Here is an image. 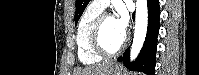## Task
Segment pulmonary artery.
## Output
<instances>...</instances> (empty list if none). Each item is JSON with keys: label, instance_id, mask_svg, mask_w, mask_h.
Here are the masks:
<instances>
[{"label": "pulmonary artery", "instance_id": "1", "mask_svg": "<svg viewBox=\"0 0 199 75\" xmlns=\"http://www.w3.org/2000/svg\"><path fill=\"white\" fill-rule=\"evenodd\" d=\"M109 2L110 1H108V0L92 1L91 5L97 7L101 10H104L108 6Z\"/></svg>", "mask_w": 199, "mask_h": 75}]
</instances>
